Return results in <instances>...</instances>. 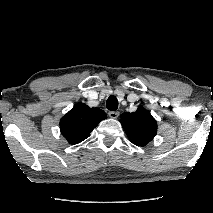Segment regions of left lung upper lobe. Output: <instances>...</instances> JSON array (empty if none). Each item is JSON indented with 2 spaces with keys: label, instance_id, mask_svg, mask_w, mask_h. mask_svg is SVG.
I'll return each mask as SVG.
<instances>
[{
  "label": "left lung upper lobe",
  "instance_id": "5c2ea615",
  "mask_svg": "<svg viewBox=\"0 0 213 213\" xmlns=\"http://www.w3.org/2000/svg\"><path fill=\"white\" fill-rule=\"evenodd\" d=\"M123 126L130 141L138 146L144 147L157 134V123L152 115L143 107L137 111L125 112L120 116Z\"/></svg>",
  "mask_w": 213,
  "mask_h": 213
}]
</instances>
